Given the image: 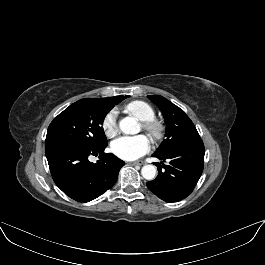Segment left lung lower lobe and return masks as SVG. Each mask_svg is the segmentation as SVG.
I'll return each mask as SVG.
<instances>
[{
	"instance_id": "obj_1",
	"label": "left lung lower lobe",
	"mask_w": 265,
	"mask_h": 265,
	"mask_svg": "<svg viewBox=\"0 0 265 265\" xmlns=\"http://www.w3.org/2000/svg\"><path fill=\"white\" fill-rule=\"evenodd\" d=\"M205 148L202 140H196L152 156L168 161L155 163L158 176L147 182V187L166 202H177L191 194L204 167Z\"/></svg>"
}]
</instances>
